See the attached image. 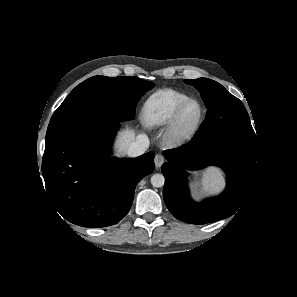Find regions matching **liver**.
Returning <instances> with one entry per match:
<instances>
[{"label":"liver","mask_w":297,"mask_h":297,"mask_svg":"<svg viewBox=\"0 0 297 297\" xmlns=\"http://www.w3.org/2000/svg\"><path fill=\"white\" fill-rule=\"evenodd\" d=\"M136 140V133L134 129L125 127L118 136L116 142L117 156H124L132 142Z\"/></svg>","instance_id":"6515ba94"}]
</instances>
